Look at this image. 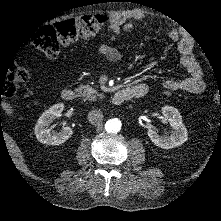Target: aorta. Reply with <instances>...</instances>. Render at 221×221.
<instances>
[{"label": "aorta", "instance_id": "1", "mask_svg": "<svg viewBox=\"0 0 221 221\" xmlns=\"http://www.w3.org/2000/svg\"><path fill=\"white\" fill-rule=\"evenodd\" d=\"M121 121L117 118H112L109 119L106 123H105V130L108 133H118L121 130Z\"/></svg>", "mask_w": 221, "mask_h": 221}]
</instances>
